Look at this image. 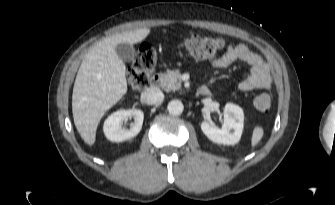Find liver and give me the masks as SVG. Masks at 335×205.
Masks as SVG:
<instances>
[{"label":"liver","mask_w":335,"mask_h":205,"mask_svg":"<svg viewBox=\"0 0 335 205\" xmlns=\"http://www.w3.org/2000/svg\"><path fill=\"white\" fill-rule=\"evenodd\" d=\"M149 33L150 29L142 28L115 34L95 44L85 55L74 83L72 113L86 144H94L101 118L127 92L126 67L116 53V45L139 43Z\"/></svg>","instance_id":"6515ba94"}]
</instances>
